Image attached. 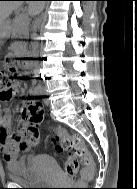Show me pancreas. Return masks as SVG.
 I'll return each instance as SVG.
<instances>
[{
  "label": "pancreas",
  "mask_w": 137,
  "mask_h": 189,
  "mask_svg": "<svg viewBox=\"0 0 137 189\" xmlns=\"http://www.w3.org/2000/svg\"><path fill=\"white\" fill-rule=\"evenodd\" d=\"M29 30V22L26 19H22L20 17L15 18L12 33L17 38H25L28 35Z\"/></svg>",
  "instance_id": "1"
}]
</instances>
